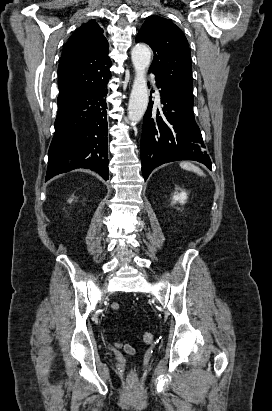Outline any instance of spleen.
Wrapping results in <instances>:
<instances>
[{
    "mask_svg": "<svg viewBox=\"0 0 272 411\" xmlns=\"http://www.w3.org/2000/svg\"><path fill=\"white\" fill-rule=\"evenodd\" d=\"M180 167L185 170L192 171L199 176H205L204 172L199 167L193 165L191 162H181Z\"/></svg>",
    "mask_w": 272,
    "mask_h": 411,
    "instance_id": "spleen-1",
    "label": "spleen"
}]
</instances>
